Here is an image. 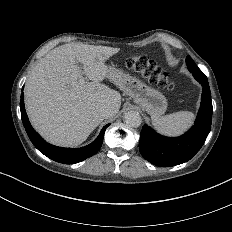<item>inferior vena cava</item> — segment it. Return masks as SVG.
<instances>
[{
    "instance_id": "1",
    "label": "inferior vena cava",
    "mask_w": 232,
    "mask_h": 232,
    "mask_svg": "<svg viewBox=\"0 0 232 232\" xmlns=\"http://www.w3.org/2000/svg\"><path fill=\"white\" fill-rule=\"evenodd\" d=\"M98 113L102 118H109L113 115V111L108 106H102L98 109Z\"/></svg>"
}]
</instances>
